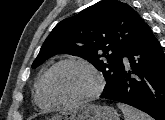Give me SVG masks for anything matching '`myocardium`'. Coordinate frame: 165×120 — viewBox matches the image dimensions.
Returning a JSON list of instances; mask_svg holds the SVG:
<instances>
[{"label":"myocardium","mask_w":165,"mask_h":120,"mask_svg":"<svg viewBox=\"0 0 165 120\" xmlns=\"http://www.w3.org/2000/svg\"><path fill=\"white\" fill-rule=\"evenodd\" d=\"M67 64L80 65V66L85 67L87 70H89L95 78V81H96L95 87L90 92H88L84 95H81V96L71 98V99L58 98L50 87V78H51V75L53 74V72L57 68H59L60 66H63V65H67ZM104 86H105L104 79H103L102 75L100 74V72L98 71V69L90 62H88L84 59H80V58H65V59L59 60L58 62L53 64L44 75L45 90H46L48 96L51 98V100L55 104L67 105V104H74V103H80V102L92 100V99L98 97L102 93Z\"/></svg>","instance_id":"1"}]
</instances>
